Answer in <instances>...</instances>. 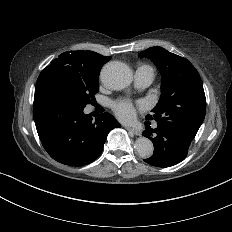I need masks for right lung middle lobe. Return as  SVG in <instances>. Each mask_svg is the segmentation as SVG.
Segmentation results:
<instances>
[{
	"mask_svg": "<svg viewBox=\"0 0 232 232\" xmlns=\"http://www.w3.org/2000/svg\"><path fill=\"white\" fill-rule=\"evenodd\" d=\"M99 71L79 65H68L55 59L39 75L38 86H49L76 104L85 107L94 104L99 90Z\"/></svg>",
	"mask_w": 232,
	"mask_h": 232,
	"instance_id": "dd1d6c3e",
	"label": "right lung middle lobe"
}]
</instances>
